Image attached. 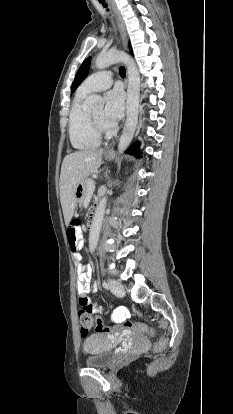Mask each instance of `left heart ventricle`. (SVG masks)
I'll use <instances>...</instances> for the list:
<instances>
[{"label": "left heart ventricle", "instance_id": "obj_1", "mask_svg": "<svg viewBox=\"0 0 233 414\" xmlns=\"http://www.w3.org/2000/svg\"><path fill=\"white\" fill-rule=\"evenodd\" d=\"M92 114L94 115V117L96 118V120L104 127H109L111 126L110 124L107 123V121L104 118V109L103 107H99L96 109H93Z\"/></svg>", "mask_w": 233, "mask_h": 414}]
</instances>
